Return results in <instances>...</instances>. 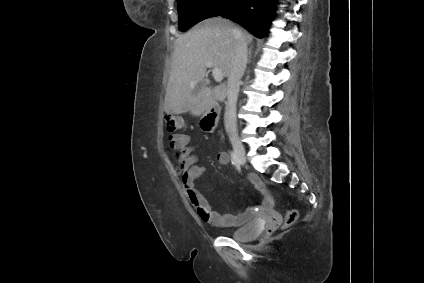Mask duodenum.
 Segmentation results:
<instances>
[{"label": "duodenum", "mask_w": 424, "mask_h": 283, "mask_svg": "<svg viewBox=\"0 0 424 283\" xmlns=\"http://www.w3.org/2000/svg\"><path fill=\"white\" fill-rule=\"evenodd\" d=\"M219 121V108L217 105L208 107L202 121L201 127L204 131L212 133L216 130Z\"/></svg>", "instance_id": "1"}]
</instances>
